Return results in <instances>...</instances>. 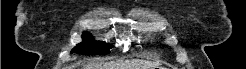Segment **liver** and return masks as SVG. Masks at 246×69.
I'll return each mask as SVG.
<instances>
[{
  "label": "liver",
  "mask_w": 246,
  "mask_h": 69,
  "mask_svg": "<svg viewBox=\"0 0 246 69\" xmlns=\"http://www.w3.org/2000/svg\"><path fill=\"white\" fill-rule=\"evenodd\" d=\"M157 66H158L157 63L132 60L126 64H119L115 62L90 63L84 66L83 69H154Z\"/></svg>",
  "instance_id": "obj_1"
}]
</instances>
